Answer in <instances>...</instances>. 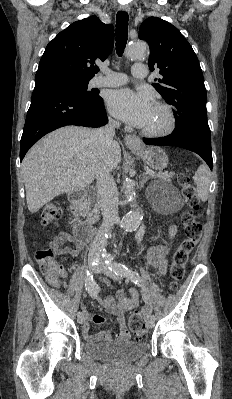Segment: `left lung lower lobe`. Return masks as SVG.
<instances>
[{"label":"left lung lower lobe","mask_w":232,"mask_h":399,"mask_svg":"<svg viewBox=\"0 0 232 399\" xmlns=\"http://www.w3.org/2000/svg\"><path fill=\"white\" fill-rule=\"evenodd\" d=\"M143 141L147 145L175 146L193 151L200 155L209 165L210 169H212L213 160L211 143H206L195 137L175 133H171L162 138H143Z\"/></svg>","instance_id":"1"}]
</instances>
